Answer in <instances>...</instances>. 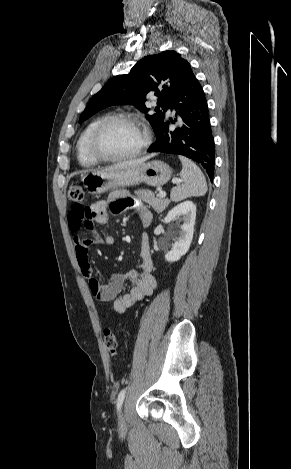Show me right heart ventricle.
Returning <instances> with one entry per match:
<instances>
[{
	"instance_id": "obj_1",
	"label": "right heart ventricle",
	"mask_w": 291,
	"mask_h": 469,
	"mask_svg": "<svg viewBox=\"0 0 291 469\" xmlns=\"http://www.w3.org/2000/svg\"><path fill=\"white\" fill-rule=\"evenodd\" d=\"M106 117H108L107 114L101 115L87 124L76 142L77 159L79 164L83 167H94L100 162L92 155L89 148V141L95 127Z\"/></svg>"
}]
</instances>
